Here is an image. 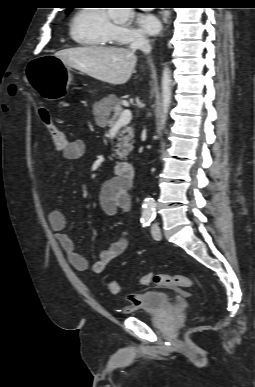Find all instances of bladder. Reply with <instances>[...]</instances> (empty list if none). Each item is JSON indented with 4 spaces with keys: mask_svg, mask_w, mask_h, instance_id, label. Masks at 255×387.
<instances>
[{
    "mask_svg": "<svg viewBox=\"0 0 255 387\" xmlns=\"http://www.w3.org/2000/svg\"><path fill=\"white\" fill-rule=\"evenodd\" d=\"M140 303L124 313L138 316L139 314L154 315L173 306L171 297L166 292L149 291L140 294Z\"/></svg>",
    "mask_w": 255,
    "mask_h": 387,
    "instance_id": "obj_1",
    "label": "bladder"
}]
</instances>
